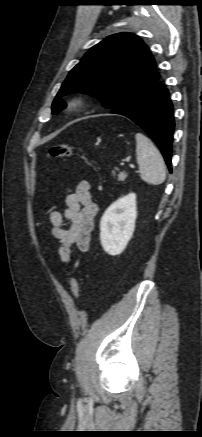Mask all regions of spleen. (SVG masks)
<instances>
[{
    "label": "spleen",
    "mask_w": 202,
    "mask_h": 437,
    "mask_svg": "<svg viewBox=\"0 0 202 437\" xmlns=\"http://www.w3.org/2000/svg\"><path fill=\"white\" fill-rule=\"evenodd\" d=\"M136 155L141 179L151 185H160L166 179V167L159 150L142 133H137Z\"/></svg>",
    "instance_id": "spleen-1"
}]
</instances>
